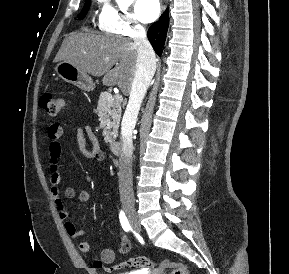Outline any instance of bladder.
I'll list each match as a JSON object with an SVG mask.
<instances>
[{
  "label": "bladder",
  "mask_w": 289,
  "mask_h": 274,
  "mask_svg": "<svg viewBox=\"0 0 289 274\" xmlns=\"http://www.w3.org/2000/svg\"><path fill=\"white\" fill-rule=\"evenodd\" d=\"M118 274H146V273H144L142 271H130V272H121Z\"/></svg>",
  "instance_id": "obj_1"
}]
</instances>
